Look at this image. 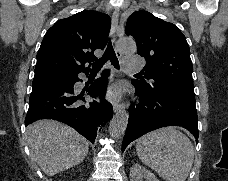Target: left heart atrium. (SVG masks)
<instances>
[{"label":"left heart atrium","instance_id":"39dd6f15","mask_svg":"<svg viewBox=\"0 0 228 181\" xmlns=\"http://www.w3.org/2000/svg\"><path fill=\"white\" fill-rule=\"evenodd\" d=\"M109 95L112 97H117L119 95V87L118 86H114L110 92Z\"/></svg>","mask_w":228,"mask_h":181}]
</instances>
